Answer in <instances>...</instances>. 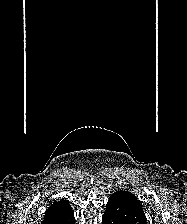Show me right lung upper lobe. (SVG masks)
I'll return each mask as SVG.
<instances>
[{
  "mask_svg": "<svg viewBox=\"0 0 187 224\" xmlns=\"http://www.w3.org/2000/svg\"><path fill=\"white\" fill-rule=\"evenodd\" d=\"M71 211L72 208L67 201L62 200L54 202L47 209L42 224H49L63 216L68 215Z\"/></svg>",
  "mask_w": 187,
  "mask_h": 224,
  "instance_id": "1",
  "label": "right lung upper lobe"
}]
</instances>
